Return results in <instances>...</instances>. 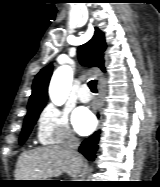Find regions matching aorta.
Masks as SVG:
<instances>
[{"label":"aorta","instance_id":"obj_1","mask_svg":"<svg viewBox=\"0 0 160 187\" xmlns=\"http://www.w3.org/2000/svg\"><path fill=\"white\" fill-rule=\"evenodd\" d=\"M72 80L73 72L67 65L57 68L54 72L49 86V96L55 105H62L66 101Z\"/></svg>","mask_w":160,"mask_h":187}]
</instances>
